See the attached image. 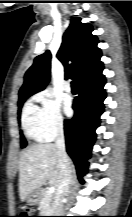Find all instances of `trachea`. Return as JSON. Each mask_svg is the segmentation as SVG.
I'll return each instance as SVG.
<instances>
[{
  "mask_svg": "<svg viewBox=\"0 0 132 217\" xmlns=\"http://www.w3.org/2000/svg\"><path fill=\"white\" fill-rule=\"evenodd\" d=\"M71 85H72V89H77L78 85L76 81H72Z\"/></svg>",
  "mask_w": 132,
  "mask_h": 217,
  "instance_id": "1",
  "label": "trachea"
}]
</instances>
